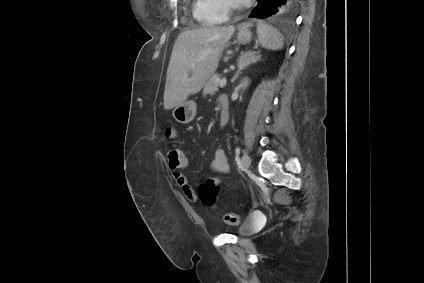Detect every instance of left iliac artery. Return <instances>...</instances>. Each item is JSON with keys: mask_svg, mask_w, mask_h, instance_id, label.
I'll return each mask as SVG.
<instances>
[{"mask_svg": "<svg viewBox=\"0 0 424 283\" xmlns=\"http://www.w3.org/2000/svg\"><path fill=\"white\" fill-rule=\"evenodd\" d=\"M235 154H236V157H238V156H239V154H240V148H239V147H237V148L235 149Z\"/></svg>", "mask_w": 424, "mask_h": 283, "instance_id": "left-iliac-artery-1", "label": "left iliac artery"}]
</instances>
